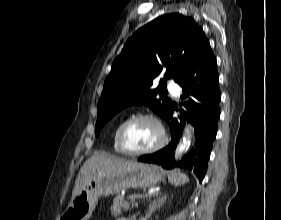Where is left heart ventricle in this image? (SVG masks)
<instances>
[{"mask_svg": "<svg viewBox=\"0 0 281 220\" xmlns=\"http://www.w3.org/2000/svg\"><path fill=\"white\" fill-rule=\"evenodd\" d=\"M124 139L130 149L142 150L152 147L160 140V131L154 122L139 120L126 129Z\"/></svg>", "mask_w": 281, "mask_h": 220, "instance_id": "1", "label": "left heart ventricle"}]
</instances>
